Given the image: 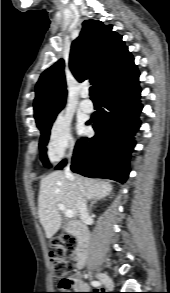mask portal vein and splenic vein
Here are the masks:
<instances>
[{
	"label": "portal vein and splenic vein",
	"mask_w": 170,
	"mask_h": 293,
	"mask_svg": "<svg viewBox=\"0 0 170 293\" xmlns=\"http://www.w3.org/2000/svg\"><path fill=\"white\" fill-rule=\"evenodd\" d=\"M58 208L64 212L67 218H72L74 216L73 212L67 209L63 204H58Z\"/></svg>",
	"instance_id": "1"
}]
</instances>
